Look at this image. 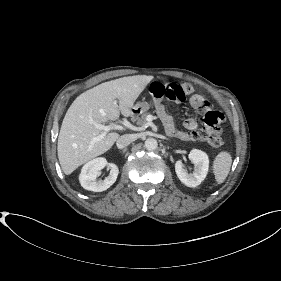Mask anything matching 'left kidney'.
Masks as SVG:
<instances>
[{
	"mask_svg": "<svg viewBox=\"0 0 281 281\" xmlns=\"http://www.w3.org/2000/svg\"><path fill=\"white\" fill-rule=\"evenodd\" d=\"M189 159L194 164L193 173L189 174L181 160L175 163V172L179 180L188 187H196L206 178L209 169L208 155L198 149L189 153Z\"/></svg>",
	"mask_w": 281,
	"mask_h": 281,
	"instance_id": "5707ae66",
	"label": "left kidney"
}]
</instances>
